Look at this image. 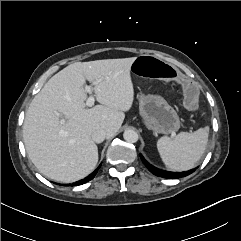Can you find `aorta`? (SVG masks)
Segmentation results:
<instances>
[{
    "label": "aorta",
    "instance_id": "762f6f07",
    "mask_svg": "<svg viewBox=\"0 0 241 241\" xmlns=\"http://www.w3.org/2000/svg\"><path fill=\"white\" fill-rule=\"evenodd\" d=\"M123 138L126 142L135 143L138 141V134L136 131L131 129L125 130L123 134Z\"/></svg>",
    "mask_w": 241,
    "mask_h": 241
}]
</instances>
